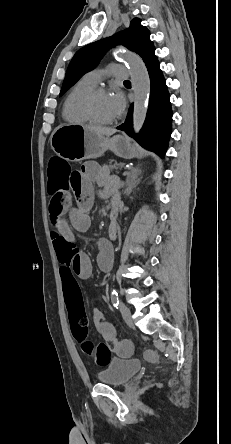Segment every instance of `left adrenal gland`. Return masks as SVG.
Listing matches in <instances>:
<instances>
[{"instance_id":"obj_1","label":"left adrenal gland","mask_w":231,"mask_h":444,"mask_svg":"<svg viewBox=\"0 0 231 444\" xmlns=\"http://www.w3.org/2000/svg\"><path fill=\"white\" fill-rule=\"evenodd\" d=\"M140 173V170H133L132 174H130L127 180V195H130L132 189L139 183L140 179H138V175Z\"/></svg>"}]
</instances>
